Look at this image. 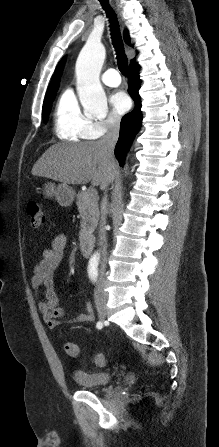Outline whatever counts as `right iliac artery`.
I'll return each mask as SVG.
<instances>
[{"label":"right iliac artery","instance_id":"1","mask_svg":"<svg viewBox=\"0 0 219 447\" xmlns=\"http://www.w3.org/2000/svg\"><path fill=\"white\" fill-rule=\"evenodd\" d=\"M96 327H97L98 329H101V328H102V323H101V322H97Z\"/></svg>","mask_w":219,"mask_h":447}]
</instances>
